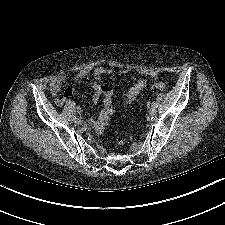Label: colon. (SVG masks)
Segmentation results:
<instances>
[{
	"mask_svg": "<svg viewBox=\"0 0 225 225\" xmlns=\"http://www.w3.org/2000/svg\"><path fill=\"white\" fill-rule=\"evenodd\" d=\"M153 88L156 91H163L165 89V85L163 83H155L153 85ZM113 112H114V109L111 105V100L106 99L104 101V107L101 111V114L94 125V131L96 132V134L98 135L103 134L107 130L108 123ZM117 144L120 145L121 141L117 140Z\"/></svg>",
	"mask_w": 225,
	"mask_h": 225,
	"instance_id": "1",
	"label": "colon"
}]
</instances>
